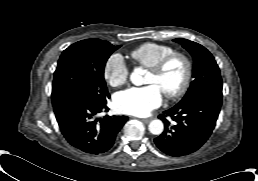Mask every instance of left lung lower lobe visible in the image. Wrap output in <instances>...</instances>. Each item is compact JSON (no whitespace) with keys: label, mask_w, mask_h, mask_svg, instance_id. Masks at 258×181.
Listing matches in <instances>:
<instances>
[{"label":"left lung lower lobe","mask_w":258,"mask_h":181,"mask_svg":"<svg viewBox=\"0 0 258 181\" xmlns=\"http://www.w3.org/2000/svg\"><path fill=\"white\" fill-rule=\"evenodd\" d=\"M222 104V95L206 94L189 103L177 104L159 118L165 130L154 139L156 146L167 155L178 157L198 150L215 127ZM169 116L174 123L166 119Z\"/></svg>","instance_id":"0a47b994"}]
</instances>
